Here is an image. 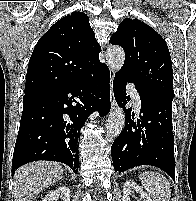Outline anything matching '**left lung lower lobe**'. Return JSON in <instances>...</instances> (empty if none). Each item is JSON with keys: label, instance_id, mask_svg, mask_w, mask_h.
I'll use <instances>...</instances> for the list:
<instances>
[{"label": "left lung lower lobe", "instance_id": "obj_1", "mask_svg": "<svg viewBox=\"0 0 196 201\" xmlns=\"http://www.w3.org/2000/svg\"><path fill=\"white\" fill-rule=\"evenodd\" d=\"M127 83L134 82L121 74L115 75L114 96L121 107L129 100L126 97ZM135 87L140 95L142 115L136 120L131 108L125 110V127L111 147L115 172L120 174L135 166L152 165L175 180L172 99L136 84Z\"/></svg>", "mask_w": 196, "mask_h": 201}]
</instances>
